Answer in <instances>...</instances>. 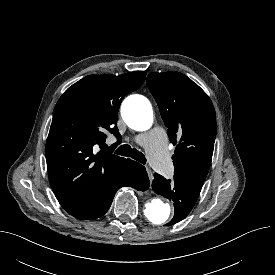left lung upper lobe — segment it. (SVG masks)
Listing matches in <instances>:
<instances>
[{
  "label": "left lung upper lobe",
  "instance_id": "obj_1",
  "mask_svg": "<svg viewBox=\"0 0 275 275\" xmlns=\"http://www.w3.org/2000/svg\"><path fill=\"white\" fill-rule=\"evenodd\" d=\"M147 85L168 127L170 141L176 145L174 176L203 184L216 137V114L210 98L179 72H152Z\"/></svg>",
  "mask_w": 275,
  "mask_h": 275
}]
</instances>
